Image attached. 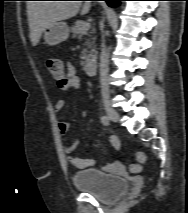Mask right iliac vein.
Instances as JSON below:
<instances>
[{
  "label": "right iliac vein",
  "instance_id": "obj_1",
  "mask_svg": "<svg viewBox=\"0 0 188 213\" xmlns=\"http://www.w3.org/2000/svg\"><path fill=\"white\" fill-rule=\"evenodd\" d=\"M105 110L112 121L118 122L120 120L119 114L110 104L105 105Z\"/></svg>",
  "mask_w": 188,
  "mask_h": 213
}]
</instances>
